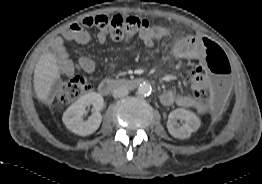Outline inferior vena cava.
Returning a JSON list of instances; mask_svg holds the SVG:
<instances>
[{
	"mask_svg": "<svg viewBox=\"0 0 262 184\" xmlns=\"http://www.w3.org/2000/svg\"><path fill=\"white\" fill-rule=\"evenodd\" d=\"M128 93H129V90L127 89V87L119 86L113 90V97L121 98V97L128 95Z\"/></svg>",
	"mask_w": 262,
	"mask_h": 184,
	"instance_id": "602c4592",
	"label": "inferior vena cava"
}]
</instances>
